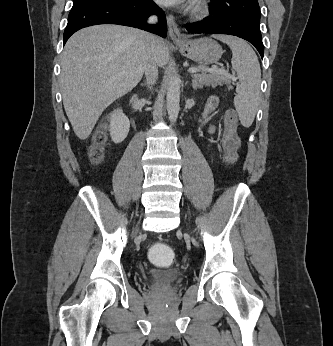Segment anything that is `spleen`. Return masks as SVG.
<instances>
[{"label":"spleen","mask_w":333,"mask_h":346,"mask_svg":"<svg viewBox=\"0 0 333 346\" xmlns=\"http://www.w3.org/2000/svg\"><path fill=\"white\" fill-rule=\"evenodd\" d=\"M215 38L229 45L232 51L231 64L240 81L234 105L242 125L249 127L254 121L260 97L261 69L258 58L242 39L225 35Z\"/></svg>","instance_id":"1"}]
</instances>
